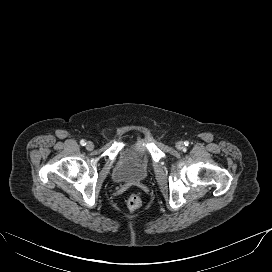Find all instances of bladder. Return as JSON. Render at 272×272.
Masks as SVG:
<instances>
[{
    "mask_svg": "<svg viewBox=\"0 0 272 272\" xmlns=\"http://www.w3.org/2000/svg\"><path fill=\"white\" fill-rule=\"evenodd\" d=\"M151 173V162L148 151L136 145L124 147L118 154L112 179L117 183H141Z\"/></svg>",
    "mask_w": 272,
    "mask_h": 272,
    "instance_id": "bladder-1",
    "label": "bladder"
}]
</instances>
